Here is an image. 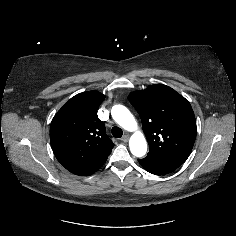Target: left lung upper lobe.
<instances>
[{
	"label": "left lung upper lobe",
	"mask_w": 236,
	"mask_h": 236,
	"mask_svg": "<svg viewBox=\"0 0 236 236\" xmlns=\"http://www.w3.org/2000/svg\"><path fill=\"white\" fill-rule=\"evenodd\" d=\"M128 99L141 117L150 147L142 160L156 166H181L192 151L197 133L190 103L163 84L135 91Z\"/></svg>",
	"instance_id": "left-lung-upper-lobe-1"
}]
</instances>
